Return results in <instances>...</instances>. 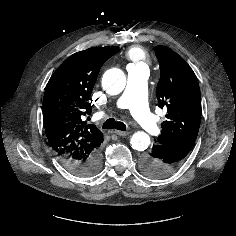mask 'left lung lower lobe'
Here are the masks:
<instances>
[{
    "label": "left lung lower lobe",
    "instance_id": "left-lung-lower-lobe-1",
    "mask_svg": "<svg viewBox=\"0 0 236 236\" xmlns=\"http://www.w3.org/2000/svg\"><path fill=\"white\" fill-rule=\"evenodd\" d=\"M194 143L177 142L153 145L150 153L141 159L143 172L151 178H165L177 171L184 163Z\"/></svg>",
    "mask_w": 236,
    "mask_h": 236
}]
</instances>
